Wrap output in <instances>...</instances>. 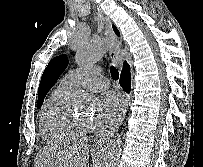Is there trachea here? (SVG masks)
Wrapping results in <instances>:
<instances>
[{
  "label": "trachea",
  "instance_id": "1",
  "mask_svg": "<svg viewBox=\"0 0 203 167\" xmlns=\"http://www.w3.org/2000/svg\"><path fill=\"white\" fill-rule=\"evenodd\" d=\"M110 73H111V77H112L114 80H118V78H119V73H118V70H117L114 66H111V67H110Z\"/></svg>",
  "mask_w": 203,
  "mask_h": 167
}]
</instances>
